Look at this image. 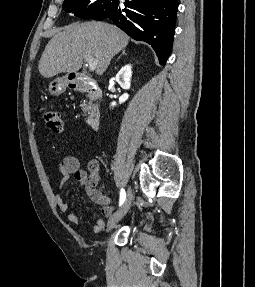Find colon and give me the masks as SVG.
Masks as SVG:
<instances>
[{
    "label": "colon",
    "mask_w": 255,
    "mask_h": 287,
    "mask_svg": "<svg viewBox=\"0 0 255 287\" xmlns=\"http://www.w3.org/2000/svg\"><path fill=\"white\" fill-rule=\"evenodd\" d=\"M44 121L48 129L55 133H60L63 130L64 122L61 115L56 111H45L43 114Z\"/></svg>",
    "instance_id": "colon-1"
}]
</instances>
